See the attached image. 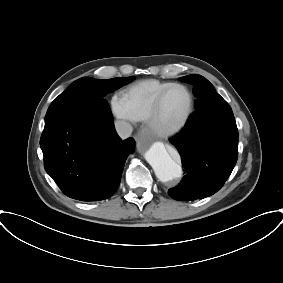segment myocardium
Listing matches in <instances>:
<instances>
[{"label": "myocardium", "mask_w": 283, "mask_h": 283, "mask_svg": "<svg viewBox=\"0 0 283 283\" xmlns=\"http://www.w3.org/2000/svg\"><path fill=\"white\" fill-rule=\"evenodd\" d=\"M174 88H182L188 93L189 107H188V110L184 118L177 125L171 128H167V129L161 128L157 124V118L159 115L161 104H162L164 97L167 95V93ZM194 109H195V97H194L192 90L185 84L172 83L171 85L163 89L156 97L154 104L152 106V109L150 111V114L147 118L148 128L152 131V133H154L156 136L161 137V138H169V137L175 136L187 126V124L189 123L194 113Z\"/></svg>", "instance_id": "1"}]
</instances>
